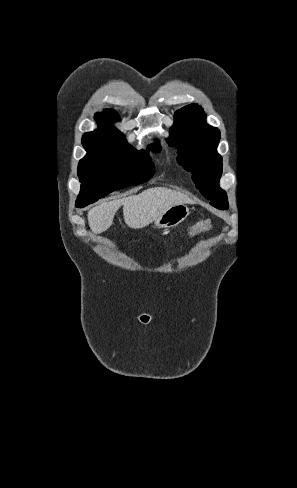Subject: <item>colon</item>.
<instances>
[{
  "label": "colon",
  "instance_id": "obj_1",
  "mask_svg": "<svg viewBox=\"0 0 297 488\" xmlns=\"http://www.w3.org/2000/svg\"><path fill=\"white\" fill-rule=\"evenodd\" d=\"M208 223H201L193 226L188 233L190 238L195 237L196 235L200 234L201 232L205 231L208 228Z\"/></svg>",
  "mask_w": 297,
  "mask_h": 488
}]
</instances>
